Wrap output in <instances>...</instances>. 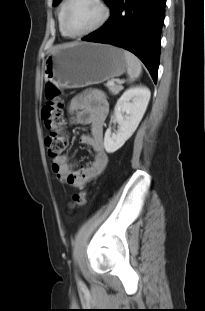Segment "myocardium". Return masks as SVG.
<instances>
[{
  "label": "myocardium",
  "instance_id": "myocardium-1",
  "mask_svg": "<svg viewBox=\"0 0 205 311\" xmlns=\"http://www.w3.org/2000/svg\"><path fill=\"white\" fill-rule=\"evenodd\" d=\"M93 1L100 7L101 12H102V15H101L99 21L93 27L89 28L86 31H83L80 33H73L70 31V29L68 28V25H67V14H68L69 7H70L71 3L73 2V0H66L65 5H64V9H63L62 26H63V29H64L65 33L67 34V36L72 37V38L84 37V36H87L93 32H96L97 30H99L100 28H102L106 24V22L108 21V19L110 17L109 6L105 2V0H93Z\"/></svg>",
  "mask_w": 205,
  "mask_h": 311
}]
</instances>
